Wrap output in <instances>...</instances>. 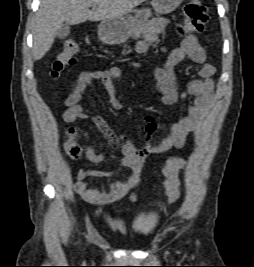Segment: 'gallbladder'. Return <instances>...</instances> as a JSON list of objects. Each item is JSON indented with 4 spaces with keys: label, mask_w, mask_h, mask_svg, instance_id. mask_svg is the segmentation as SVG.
<instances>
[{
    "label": "gallbladder",
    "mask_w": 254,
    "mask_h": 267,
    "mask_svg": "<svg viewBox=\"0 0 254 267\" xmlns=\"http://www.w3.org/2000/svg\"><path fill=\"white\" fill-rule=\"evenodd\" d=\"M70 33V27L68 24H62L57 33H56V36L59 38V39H64L66 38Z\"/></svg>",
    "instance_id": "bac80fb5"
}]
</instances>
